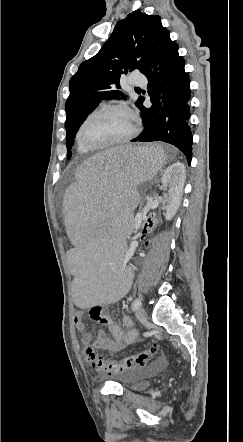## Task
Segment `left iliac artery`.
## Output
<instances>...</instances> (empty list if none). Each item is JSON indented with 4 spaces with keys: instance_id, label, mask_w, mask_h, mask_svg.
<instances>
[{
    "instance_id": "obj_1",
    "label": "left iliac artery",
    "mask_w": 243,
    "mask_h": 442,
    "mask_svg": "<svg viewBox=\"0 0 243 442\" xmlns=\"http://www.w3.org/2000/svg\"><path fill=\"white\" fill-rule=\"evenodd\" d=\"M142 303H141V299L140 298H136L133 303H132V310H137L139 307H141Z\"/></svg>"
}]
</instances>
